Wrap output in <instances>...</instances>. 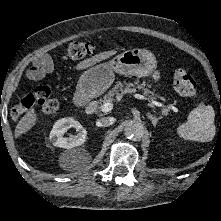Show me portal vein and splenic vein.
Instances as JSON below:
<instances>
[{
  "mask_svg": "<svg viewBox=\"0 0 221 221\" xmlns=\"http://www.w3.org/2000/svg\"><path fill=\"white\" fill-rule=\"evenodd\" d=\"M134 97L137 98V99H140V100H146L150 103V106L151 107H154V106H162L161 103L153 100V99H150V98H147L143 95H140V94H134ZM166 109L165 111L168 112L169 110H172L174 112H178V109L173 106V105H165ZM113 109V104L111 102H106L102 105V111L104 113H108L110 112L111 110Z\"/></svg>",
  "mask_w": 221,
  "mask_h": 221,
  "instance_id": "18ae733b",
  "label": "portal vein and splenic vein"
}]
</instances>
